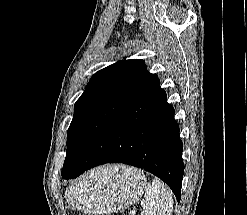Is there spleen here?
Returning a JSON list of instances; mask_svg holds the SVG:
<instances>
[{"mask_svg": "<svg viewBox=\"0 0 247 215\" xmlns=\"http://www.w3.org/2000/svg\"><path fill=\"white\" fill-rule=\"evenodd\" d=\"M145 198L141 201L144 215H171L173 198L171 190L159 179L146 184Z\"/></svg>", "mask_w": 247, "mask_h": 215, "instance_id": "spleen-1", "label": "spleen"}]
</instances>
